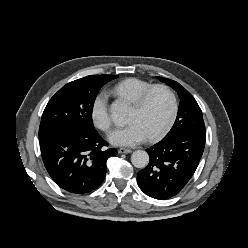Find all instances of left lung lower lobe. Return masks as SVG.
I'll list each match as a JSON object with an SVG mask.
<instances>
[{"label": "left lung lower lobe", "instance_id": "obj_1", "mask_svg": "<svg viewBox=\"0 0 248 248\" xmlns=\"http://www.w3.org/2000/svg\"><path fill=\"white\" fill-rule=\"evenodd\" d=\"M206 134L180 132L148 148L149 164L137 175L140 189L155 199L178 194L193 176L202 157Z\"/></svg>", "mask_w": 248, "mask_h": 248}]
</instances>
